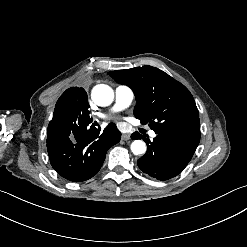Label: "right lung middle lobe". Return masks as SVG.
Instances as JSON below:
<instances>
[{"label":"right lung middle lobe","instance_id":"1","mask_svg":"<svg viewBox=\"0 0 247 247\" xmlns=\"http://www.w3.org/2000/svg\"><path fill=\"white\" fill-rule=\"evenodd\" d=\"M87 93L83 88L71 87L58 99L48 135L63 136L79 120L89 117Z\"/></svg>","mask_w":247,"mask_h":247}]
</instances>
